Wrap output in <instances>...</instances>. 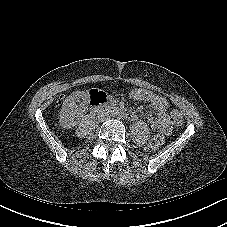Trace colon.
Listing matches in <instances>:
<instances>
[{"label": "colon", "instance_id": "1", "mask_svg": "<svg viewBox=\"0 0 227 227\" xmlns=\"http://www.w3.org/2000/svg\"><path fill=\"white\" fill-rule=\"evenodd\" d=\"M105 94L99 90H91L90 91V100L96 97L104 96ZM170 118L171 121L175 125H180L182 123V114L178 109H172L170 111ZM165 142V136L163 133H157L156 135L151 138V140L148 142L147 148L150 151H155L159 149Z\"/></svg>", "mask_w": 227, "mask_h": 227}]
</instances>
